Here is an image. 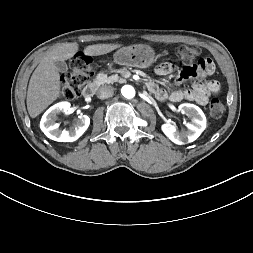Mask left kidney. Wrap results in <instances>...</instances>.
<instances>
[{
  "label": "left kidney",
  "mask_w": 253,
  "mask_h": 253,
  "mask_svg": "<svg viewBox=\"0 0 253 253\" xmlns=\"http://www.w3.org/2000/svg\"><path fill=\"white\" fill-rule=\"evenodd\" d=\"M179 111L190 117L187 130L179 132L176 126L165 123L161 126L163 133L175 144L183 145L195 141L206 128V117L203 111L196 105L183 103L179 105Z\"/></svg>",
  "instance_id": "obj_1"
}]
</instances>
